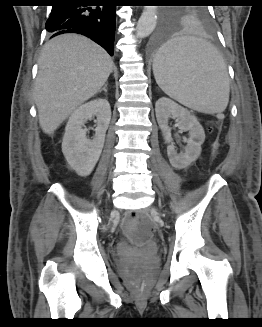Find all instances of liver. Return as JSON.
Returning a JSON list of instances; mask_svg holds the SVG:
<instances>
[{
    "instance_id": "6515ba94",
    "label": "liver",
    "mask_w": 262,
    "mask_h": 327,
    "mask_svg": "<svg viewBox=\"0 0 262 327\" xmlns=\"http://www.w3.org/2000/svg\"><path fill=\"white\" fill-rule=\"evenodd\" d=\"M38 65L34 100L40 127L49 135L101 90L113 70L108 53L77 34L59 35L47 42Z\"/></svg>"
}]
</instances>
